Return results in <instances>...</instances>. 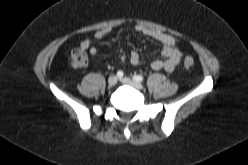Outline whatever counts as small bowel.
I'll return each instance as SVG.
<instances>
[{
	"label": "small bowel",
	"instance_id": "small-bowel-1",
	"mask_svg": "<svg viewBox=\"0 0 248 165\" xmlns=\"http://www.w3.org/2000/svg\"><path fill=\"white\" fill-rule=\"evenodd\" d=\"M135 30L137 33L152 38L162 44L163 59L152 60L149 63L150 67L154 70H165L167 72H172L183 57L179 39L171 34L141 25L136 26ZM109 32V28H102L95 33L94 39L100 40ZM80 47L84 50H88L92 59L96 57L97 49L96 47L91 46V40L89 38L83 39L80 42ZM140 61V55L137 51H132L129 54V62L131 65L138 66Z\"/></svg>",
	"mask_w": 248,
	"mask_h": 165
}]
</instances>
